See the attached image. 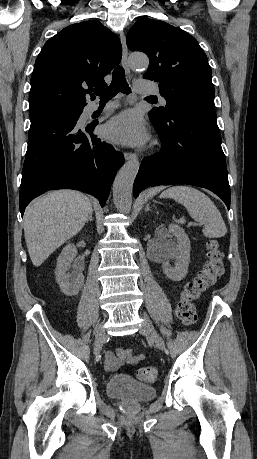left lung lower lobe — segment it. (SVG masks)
Segmentation results:
<instances>
[{
  "label": "left lung lower lobe",
  "instance_id": "left-lung-lower-lobe-1",
  "mask_svg": "<svg viewBox=\"0 0 257 459\" xmlns=\"http://www.w3.org/2000/svg\"><path fill=\"white\" fill-rule=\"evenodd\" d=\"M150 120L163 147L158 155L142 160L134 196L149 186L189 184L211 190L229 209L230 187L214 106H185L165 119Z\"/></svg>",
  "mask_w": 257,
  "mask_h": 459
}]
</instances>
